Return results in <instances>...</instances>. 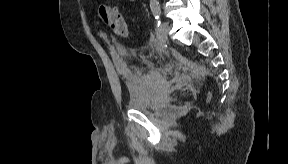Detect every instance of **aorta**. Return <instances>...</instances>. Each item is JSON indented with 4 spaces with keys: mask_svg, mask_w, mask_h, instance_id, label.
Instances as JSON below:
<instances>
[{
    "mask_svg": "<svg viewBox=\"0 0 288 164\" xmlns=\"http://www.w3.org/2000/svg\"><path fill=\"white\" fill-rule=\"evenodd\" d=\"M159 4L156 2V0H150V8L153 10V8H158Z\"/></svg>",
    "mask_w": 288,
    "mask_h": 164,
    "instance_id": "obj_1",
    "label": "aorta"
}]
</instances>
